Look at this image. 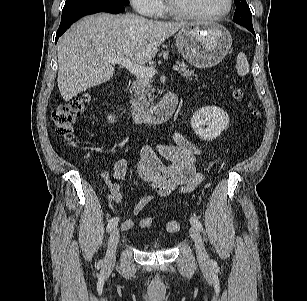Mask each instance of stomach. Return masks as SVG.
I'll return each instance as SVG.
<instances>
[{"instance_id": "0dacf381", "label": "stomach", "mask_w": 307, "mask_h": 301, "mask_svg": "<svg viewBox=\"0 0 307 301\" xmlns=\"http://www.w3.org/2000/svg\"><path fill=\"white\" fill-rule=\"evenodd\" d=\"M230 32L218 23H191L176 35V46L193 66L209 68L224 59L231 49Z\"/></svg>"}]
</instances>
